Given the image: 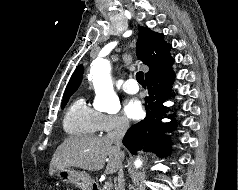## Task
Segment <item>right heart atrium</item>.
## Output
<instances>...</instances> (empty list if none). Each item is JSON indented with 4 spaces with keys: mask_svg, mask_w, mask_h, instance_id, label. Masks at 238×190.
Wrapping results in <instances>:
<instances>
[{
    "mask_svg": "<svg viewBox=\"0 0 238 190\" xmlns=\"http://www.w3.org/2000/svg\"><path fill=\"white\" fill-rule=\"evenodd\" d=\"M129 126H130V121L124 114L99 113V131L102 133L124 131L128 129Z\"/></svg>",
    "mask_w": 238,
    "mask_h": 190,
    "instance_id": "obj_1",
    "label": "right heart atrium"
}]
</instances>
